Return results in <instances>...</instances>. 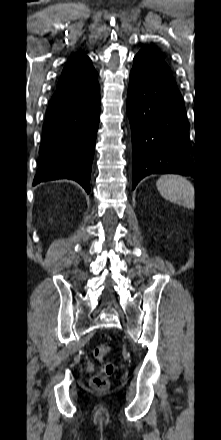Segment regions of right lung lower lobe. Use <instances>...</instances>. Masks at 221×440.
I'll list each match as a JSON object with an SVG mask.
<instances>
[{
	"label": "right lung lower lobe",
	"instance_id": "obj_1",
	"mask_svg": "<svg viewBox=\"0 0 221 440\" xmlns=\"http://www.w3.org/2000/svg\"><path fill=\"white\" fill-rule=\"evenodd\" d=\"M100 115V87L92 82L56 89L46 112L40 164L33 185L72 179L87 193Z\"/></svg>",
	"mask_w": 221,
	"mask_h": 440
}]
</instances>
